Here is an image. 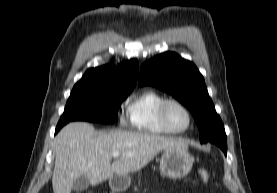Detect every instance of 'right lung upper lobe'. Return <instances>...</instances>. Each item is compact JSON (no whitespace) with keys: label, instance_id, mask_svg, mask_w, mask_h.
<instances>
[{"label":"right lung upper lobe","instance_id":"1","mask_svg":"<svg viewBox=\"0 0 277 193\" xmlns=\"http://www.w3.org/2000/svg\"><path fill=\"white\" fill-rule=\"evenodd\" d=\"M139 64L131 59L117 67L105 65L86 71L73 89H87L106 92H131L138 77Z\"/></svg>","mask_w":277,"mask_h":193}]
</instances>
